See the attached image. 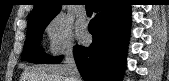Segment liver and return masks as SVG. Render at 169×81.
Masks as SVG:
<instances>
[{
    "instance_id": "liver-1",
    "label": "liver",
    "mask_w": 169,
    "mask_h": 81,
    "mask_svg": "<svg viewBox=\"0 0 169 81\" xmlns=\"http://www.w3.org/2000/svg\"><path fill=\"white\" fill-rule=\"evenodd\" d=\"M21 81H70L65 65H44L27 68Z\"/></svg>"
}]
</instances>
